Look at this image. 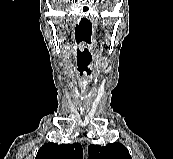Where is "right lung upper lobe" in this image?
Here are the masks:
<instances>
[{
  "label": "right lung upper lobe",
  "instance_id": "right-lung-upper-lobe-1",
  "mask_svg": "<svg viewBox=\"0 0 173 159\" xmlns=\"http://www.w3.org/2000/svg\"><path fill=\"white\" fill-rule=\"evenodd\" d=\"M82 146L78 143L62 144L45 143L37 152L35 159H82Z\"/></svg>",
  "mask_w": 173,
  "mask_h": 159
}]
</instances>
